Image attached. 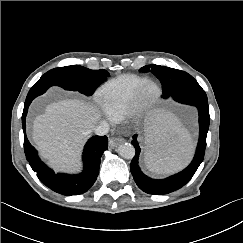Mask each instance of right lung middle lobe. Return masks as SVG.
Segmentation results:
<instances>
[{
  "instance_id": "right-lung-middle-lobe-1",
  "label": "right lung middle lobe",
  "mask_w": 243,
  "mask_h": 243,
  "mask_svg": "<svg viewBox=\"0 0 243 243\" xmlns=\"http://www.w3.org/2000/svg\"><path fill=\"white\" fill-rule=\"evenodd\" d=\"M108 75L103 69L90 70L79 65L65 66L48 71L33 87L60 86L65 90L79 91L90 96Z\"/></svg>"
}]
</instances>
